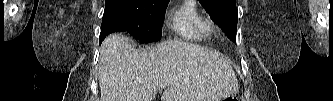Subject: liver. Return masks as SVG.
Segmentation results:
<instances>
[{
  "instance_id": "obj_1",
  "label": "liver",
  "mask_w": 333,
  "mask_h": 101,
  "mask_svg": "<svg viewBox=\"0 0 333 101\" xmlns=\"http://www.w3.org/2000/svg\"><path fill=\"white\" fill-rule=\"evenodd\" d=\"M100 101H220L236 94L238 82L222 54L182 42L166 41L134 49L122 34L109 35L100 48Z\"/></svg>"
}]
</instances>
